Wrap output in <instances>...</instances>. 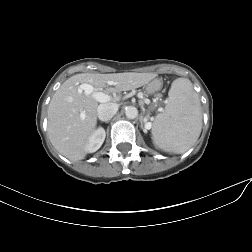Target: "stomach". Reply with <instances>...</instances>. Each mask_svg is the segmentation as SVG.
I'll return each mask as SVG.
<instances>
[{"label":"stomach","instance_id":"0dacf381","mask_svg":"<svg viewBox=\"0 0 252 252\" xmlns=\"http://www.w3.org/2000/svg\"><path fill=\"white\" fill-rule=\"evenodd\" d=\"M162 88V81L159 79H154L150 81L145 88L147 94H154Z\"/></svg>","mask_w":252,"mask_h":252}]
</instances>
